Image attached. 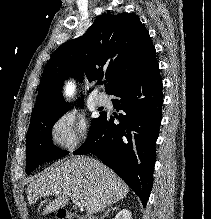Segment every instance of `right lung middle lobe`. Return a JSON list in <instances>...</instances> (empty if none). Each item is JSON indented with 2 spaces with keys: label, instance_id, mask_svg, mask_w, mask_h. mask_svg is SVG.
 I'll list each match as a JSON object with an SVG mask.
<instances>
[{
  "label": "right lung middle lobe",
  "instance_id": "right-lung-middle-lobe-1",
  "mask_svg": "<svg viewBox=\"0 0 211 219\" xmlns=\"http://www.w3.org/2000/svg\"><path fill=\"white\" fill-rule=\"evenodd\" d=\"M83 106V101L80 102ZM69 109V105L50 113L31 118L26 138V173L30 174L40 164L61 158L68 152L56 148L51 139V129L55 122ZM104 112H100V117ZM93 119L90 131L98 120Z\"/></svg>",
  "mask_w": 211,
  "mask_h": 219
}]
</instances>
